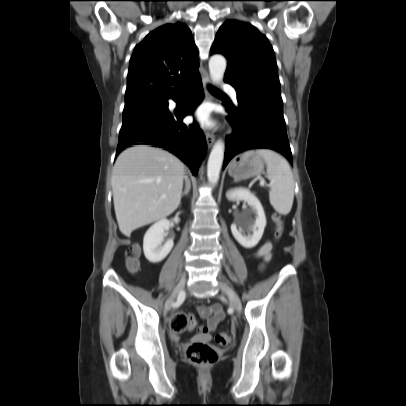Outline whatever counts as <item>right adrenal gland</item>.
I'll return each mask as SVG.
<instances>
[{"label":"right adrenal gland","instance_id":"obj_1","mask_svg":"<svg viewBox=\"0 0 406 406\" xmlns=\"http://www.w3.org/2000/svg\"><path fill=\"white\" fill-rule=\"evenodd\" d=\"M190 189H191V184H190V180L188 179L187 180V186H186V188H185V190H184V192L182 193V197L183 196H187L188 194H189V192H190Z\"/></svg>","mask_w":406,"mask_h":406}]
</instances>
